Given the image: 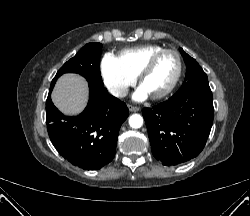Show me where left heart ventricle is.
Returning a JSON list of instances; mask_svg holds the SVG:
<instances>
[{"label":"left heart ventricle","instance_id":"left-heart-ventricle-1","mask_svg":"<svg viewBox=\"0 0 250 216\" xmlns=\"http://www.w3.org/2000/svg\"><path fill=\"white\" fill-rule=\"evenodd\" d=\"M177 71V60L173 54L162 55L144 78L141 86L149 96L163 92L172 82Z\"/></svg>","mask_w":250,"mask_h":216}]
</instances>
